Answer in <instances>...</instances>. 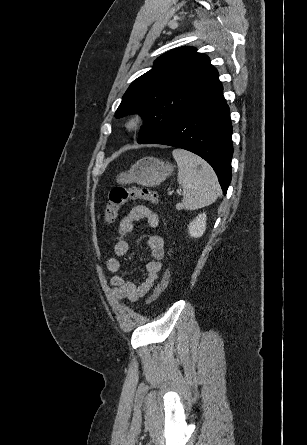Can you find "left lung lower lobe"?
I'll return each instance as SVG.
<instances>
[{
  "instance_id": "obj_1",
  "label": "left lung lower lobe",
  "mask_w": 307,
  "mask_h": 445,
  "mask_svg": "<svg viewBox=\"0 0 307 445\" xmlns=\"http://www.w3.org/2000/svg\"><path fill=\"white\" fill-rule=\"evenodd\" d=\"M142 143L174 146L201 156L215 170L226 194L231 182L233 146L230 111L222 85Z\"/></svg>"
}]
</instances>
